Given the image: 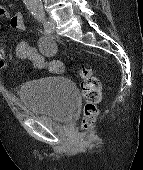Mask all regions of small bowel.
<instances>
[{"label":"small bowel","instance_id":"small-bowel-1","mask_svg":"<svg viewBox=\"0 0 143 170\" xmlns=\"http://www.w3.org/2000/svg\"><path fill=\"white\" fill-rule=\"evenodd\" d=\"M0 18H9L10 26L20 32H24L26 30V25L21 13L11 15L7 8L0 5ZM15 53L17 58L20 60H30L37 69H45L50 72H57L56 66L61 64V62L58 60H47L45 55L38 52L26 41H21L17 44ZM4 68H6L5 50L2 45H0V69Z\"/></svg>","mask_w":143,"mask_h":170}]
</instances>
